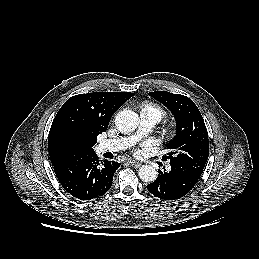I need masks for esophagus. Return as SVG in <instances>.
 I'll use <instances>...</instances> for the list:
<instances>
[{
    "instance_id": "1",
    "label": "esophagus",
    "mask_w": 259,
    "mask_h": 259,
    "mask_svg": "<svg viewBox=\"0 0 259 259\" xmlns=\"http://www.w3.org/2000/svg\"><path fill=\"white\" fill-rule=\"evenodd\" d=\"M132 167H135V168H139L141 166V163L140 162H137L135 160H132V159H129L127 161Z\"/></svg>"
}]
</instances>
